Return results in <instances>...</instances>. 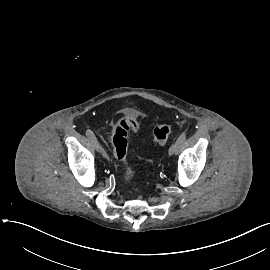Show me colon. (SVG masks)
Wrapping results in <instances>:
<instances>
[{
	"mask_svg": "<svg viewBox=\"0 0 270 270\" xmlns=\"http://www.w3.org/2000/svg\"><path fill=\"white\" fill-rule=\"evenodd\" d=\"M140 129V123L137 118L123 116L116 120L112 126V144L115 157L120 167H125L122 174L123 183L133 185L136 180L135 170L128 165V133L137 132ZM172 126L163 122L156 125L152 131V144L160 146L166 142L172 133Z\"/></svg>",
	"mask_w": 270,
	"mask_h": 270,
	"instance_id": "1",
	"label": "colon"
}]
</instances>
